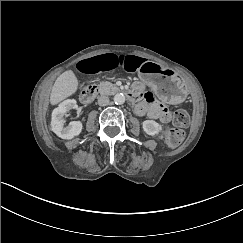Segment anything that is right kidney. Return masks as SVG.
<instances>
[{
    "instance_id": "ca27d5eb",
    "label": "right kidney",
    "mask_w": 243,
    "mask_h": 243,
    "mask_svg": "<svg viewBox=\"0 0 243 243\" xmlns=\"http://www.w3.org/2000/svg\"><path fill=\"white\" fill-rule=\"evenodd\" d=\"M78 105L75 100H66L52 112V129L53 132L62 139L71 140L77 137L83 130L81 121L70 122L69 126H64V116L72 109H77Z\"/></svg>"
}]
</instances>
